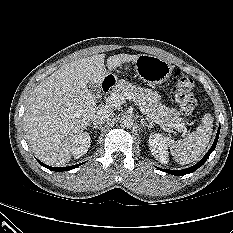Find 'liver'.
<instances>
[{
    "mask_svg": "<svg viewBox=\"0 0 233 233\" xmlns=\"http://www.w3.org/2000/svg\"><path fill=\"white\" fill-rule=\"evenodd\" d=\"M139 55L118 54L107 59L110 71ZM105 54H96L61 66L43 80L28 98L23 117L32 152L51 166L68 163L75 138L97 110L88 84L100 85L108 75Z\"/></svg>",
    "mask_w": 233,
    "mask_h": 233,
    "instance_id": "6515ba94",
    "label": "liver"
}]
</instances>
